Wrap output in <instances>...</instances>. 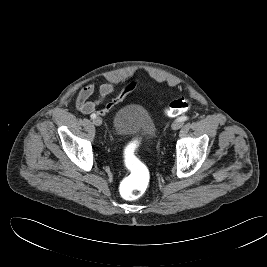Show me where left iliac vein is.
Segmentation results:
<instances>
[{
	"label": "left iliac vein",
	"mask_w": 267,
	"mask_h": 267,
	"mask_svg": "<svg viewBox=\"0 0 267 267\" xmlns=\"http://www.w3.org/2000/svg\"><path fill=\"white\" fill-rule=\"evenodd\" d=\"M183 121H180V120H175L173 123H172V129L173 130H178L179 128H181L183 126Z\"/></svg>",
	"instance_id": "obj_1"
}]
</instances>
